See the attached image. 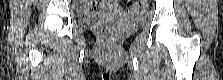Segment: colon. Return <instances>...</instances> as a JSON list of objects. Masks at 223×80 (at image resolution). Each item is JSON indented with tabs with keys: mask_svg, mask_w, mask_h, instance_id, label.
Instances as JSON below:
<instances>
[{
	"mask_svg": "<svg viewBox=\"0 0 223 80\" xmlns=\"http://www.w3.org/2000/svg\"><path fill=\"white\" fill-rule=\"evenodd\" d=\"M142 4H144V1H130L128 2L127 10L132 16L136 17L140 12V7Z\"/></svg>",
	"mask_w": 223,
	"mask_h": 80,
	"instance_id": "obj_1",
	"label": "colon"
}]
</instances>
